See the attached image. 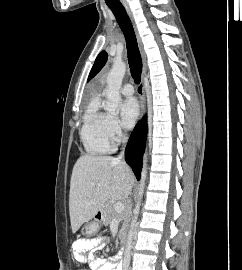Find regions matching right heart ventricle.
<instances>
[{
    "label": "right heart ventricle",
    "instance_id": "right-heart-ventricle-1",
    "mask_svg": "<svg viewBox=\"0 0 242 270\" xmlns=\"http://www.w3.org/2000/svg\"><path fill=\"white\" fill-rule=\"evenodd\" d=\"M108 121L109 116L100 109L99 99H93L84 113L80 129V139L88 154H104L114 149Z\"/></svg>",
    "mask_w": 242,
    "mask_h": 270
}]
</instances>
